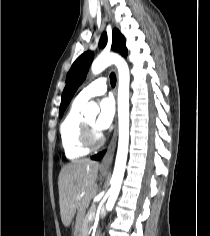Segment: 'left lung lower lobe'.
Here are the masks:
<instances>
[{"label":"left lung lower lobe","instance_id":"1","mask_svg":"<svg viewBox=\"0 0 210 236\" xmlns=\"http://www.w3.org/2000/svg\"><path fill=\"white\" fill-rule=\"evenodd\" d=\"M104 153H105V151H103V152H101V153H99V154H97L95 156H92V159L100 160L103 157Z\"/></svg>","mask_w":210,"mask_h":236}]
</instances>
